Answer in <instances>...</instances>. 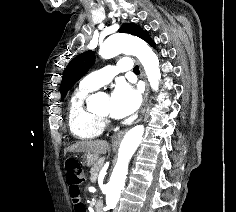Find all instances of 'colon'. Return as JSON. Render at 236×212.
I'll use <instances>...</instances> for the list:
<instances>
[{
  "label": "colon",
  "instance_id": "obj_1",
  "mask_svg": "<svg viewBox=\"0 0 236 212\" xmlns=\"http://www.w3.org/2000/svg\"><path fill=\"white\" fill-rule=\"evenodd\" d=\"M65 166L67 170L66 173L67 183L69 182V180H67V175H74V179H80V185H81L85 180V174L80 163L77 160H68Z\"/></svg>",
  "mask_w": 236,
  "mask_h": 212
}]
</instances>
